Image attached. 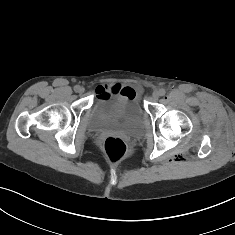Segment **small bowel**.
Masks as SVG:
<instances>
[{"label": "small bowel", "instance_id": "c3829d8e", "mask_svg": "<svg viewBox=\"0 0 235 235\" xmlns=\"http://www.w3.org/2000/svg\"><path fill=\"white\" fill-rule=\"evenodd\" d=\"M96 94L98 97H109L111 94H120L124 97H135L136 92L130 87H122L117 84L114 86H98L96 88Z\"/></svg>", "mask_w": 235, "mask_h": 235}]
</instances>
